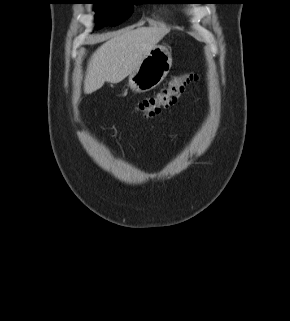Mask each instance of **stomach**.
<instances>
[{
	"label": "stomach",
	"mask_w": 290,
	"mask_h": 321,
	"mask_svg": "<svg viewBox=\"0 0 290 321\" xmlns=\"http://www.w3.org/2000/svg\"><path fill=\"white\" fill-rule=\"evenodd\" d=\"M171 66L172 57L169 50L165 46L156 45L139 67L129 75L128 85L137 93L148 92L165 79Z\"/></svg>",
	"instance_id": "1"
}]
</instances>
